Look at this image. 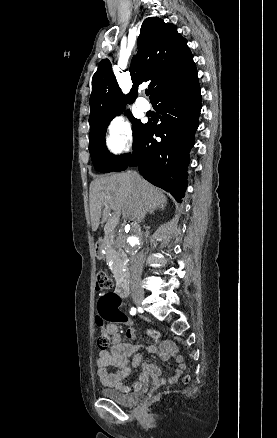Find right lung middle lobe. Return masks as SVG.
<instances>
[{"instance_id": "right-lung-middle-lobe-1", "label": "right lung middle lobe", "mask_w": 277, "mask_h": 438, "mask_svg": "<svg viewBox=\"0 0 277 438\" xmlns=\"http://www.w3.org/2000/svg\"><path fill=\"white\" fill-rule=\"evenodd\" d=\"M133 123V145L141 134L145 124L127 114ZM112 120V119H111ZM90 124L89 151L96 170L100 172L114 171L130 154L115 156L109 153L105 145V133L109 122Z\"/></svg>"}]
</instances>
